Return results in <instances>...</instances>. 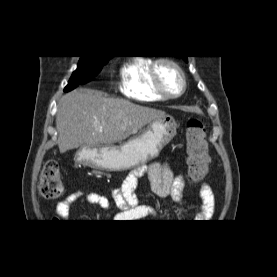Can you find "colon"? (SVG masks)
<instances>
[{
	"label": "colon",
	"mask_w": 277,
	"mask_h": 277,
	"mask_svg": "<svg viewBox=\"0 0 277 277\" xmlns=\"http://www.w3.org/2000/svg\"><path fill=\"white\" fill-rule=\"evenodd\" d=\"M186 152L188 177L192 181L204 178L209 158L207 153L206 129L202 120L192 118L186 125ZM64 186L58 162L47 161L39 178V191L45 199L54 200L63 193Z\"/></svg>",
	"instance_id": "5ec220e1"
}]
</instances>
